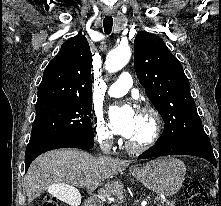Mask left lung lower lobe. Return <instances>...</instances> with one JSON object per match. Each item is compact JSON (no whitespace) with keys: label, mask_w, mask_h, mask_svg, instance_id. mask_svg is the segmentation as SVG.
I'll return each instance as SVG.
<instances>
[{"label":"left lung lower lobe","mask_w":221,"mask_h":206,"mask_svg":"<svg viewBox=\"0 0 221 206\" xmlns=\"http://www.w3.org/2000/svg\"><path fill=\"white\" fill-rule=\"evenodd\" d=\"M164 155H193L207 159L215 167L217 162L214 157L210 141L185 140L179 142L156 143L139 158L146 159ZM219 170L221 171V158H219Z\"/></svg>","instance_id":"left-lung-lower-lobe-1"}]
</instances>
